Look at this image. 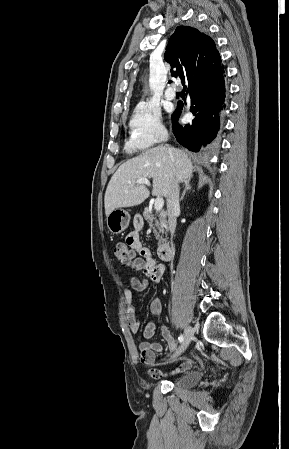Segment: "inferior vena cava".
Returning a JSON list of instances; mask_svg holds the SVG:
<instances>
[{
    "mask_svg": "<svg viewBox=\"0 0 289 449\" xmlns=\"http://www.w3.org/2000/svg\"><path fill=\"white\" fill-rule=\"evenodd\" d=\"M179 183L178 179L174 176L170 188L169 195L167 197V212L168 223L171 237H173L176 229V216L180 210L179 206Z\"/></svg>",
    "mask_w": 289,
    "mask_h": 449,
    "instance_id": "1",
    "label": "inferior vena cava"
}]
</instances>
